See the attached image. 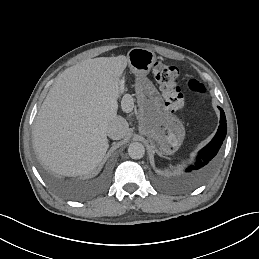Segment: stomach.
<instances>
[{
  "instance_id": "1",
  "label": "stomach",
  "mask_w": 259,
  "mask_h": 259,
  "mask_svg": "<svg viewBox=\"0 0 259 259\" xmlns=\"http://www.w3.org/2000/svg\"><path fill=\"white\" fill-rule=\"evenodd\" d=\"M130 70L136 76L146 75L156 63V54L144 48H133L127 54Z\"/></svg>"
}]
</instances>
